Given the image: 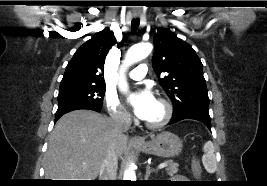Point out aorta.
Instances as JSON below:
<instances>
[{"label":"aorta","instance_id":"obj_1","mask_svg":"<svg viewBox=\"0 0 267 186\" xmlns=\"http://www.w3.org/2000/svg\"><path fill=\"white\" fill-rule=\"evenodd\" d=\"M151 51H152V45L150 43H139L132 46L126 54L124 65L127 67L134 62L146 58L151 53ZM123 72L124 69L121 73L119 88L122 91H127V83L123 77ZM123 180L136 181V174L132 166L125 171Z\"/></svg>","mask_w":267,"mask_h":186}]
</instances>
